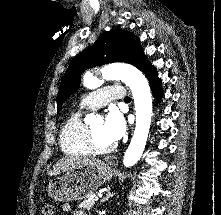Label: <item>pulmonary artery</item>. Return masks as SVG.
I'll return each instance as SVG.
<instances>
[{"label": "pulmonary artery", "mask_w": 221, "mask_h": 215, "mask_svg": "<svg viewBox=\"0 0 221 215\" xmlns=\"http://www.w3.org/2000/svg\"><path fill=\"white\" fill-rule=\"evenodd\" d=\"M125 98V90L120 86H106L101 89H98L81 101V107L96 110L104 107L108 102L114 99Z\"/></svg>", "instance_id": "pulmonary-artery-1"}]
</instances>
